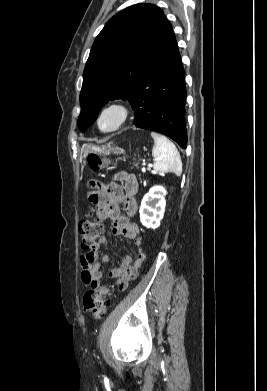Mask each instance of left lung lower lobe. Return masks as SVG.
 I'll use <instances>...</instances> for the list:
<instances>
[{"instance_id":"obj_1","label":"left lung lower lobe","mask_w":267,"mask_h":391,"mask_svg":"<svg viewBox=\"0 0 267 391\" xmlns=\"http://www.w3.org/2000/svg\"><path fill=\"white\" fill-rule=\"evenodd\" d=\"M185 72L174 39L153 61L128 100L134 125L160 132L182 148L187 146Z\"/></svg>"}]
</instances>
